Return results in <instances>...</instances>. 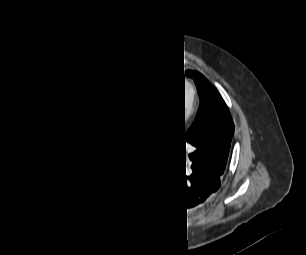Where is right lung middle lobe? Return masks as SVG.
Instances as JSON below:
<instances>
[{"label": "right lung middle lobe", "mask_w": 306, "mask_h": 255, "mask_svg": "<svg viewBox=\"0 0 306 255\" xmlns=\"http://www.w3.org/2000/svg\"><path fill=\"white\" fill-rule=\"evenodd\" d=\"M103 131V121H91L77 124L71 134L73 156L89 163L99 147Z\"/></svg>", "instance_id": "right-lung-middle-lobe-1"}]
</instances>
